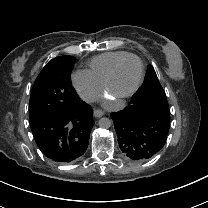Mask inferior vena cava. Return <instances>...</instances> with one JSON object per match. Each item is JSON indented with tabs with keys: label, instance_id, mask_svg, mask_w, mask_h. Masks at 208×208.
<instances>
[{
	"label": "inferior vena cava",
	"instance_id": "inferior-vena-cava-1",
	"mask_svg": "<svg viewBox=\"0 0 208 208\" xmlns=\"http://www.w3.org/2000/svg\"><path fill=\"white\" fill-rule=\"evenodd\" d=\"M80 98L87 103H90L94 100V95L91 92H84L80 94Z\"/></svg>",
	"mask_w": 208,
	"mask_h": 208
}]
</instances>
